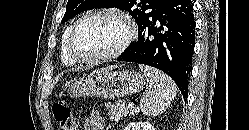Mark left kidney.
Returning <instances> with one entry per match:
<instances>
[{
    "label": "left kidney",
    "mask_w": 249,
    "mask_h": 130,
    "mask_svg": "<svg viewBox=\"0 0 249 130\" xmlns=\"http://www.w3.org/2000/svg\"><path fill=\"white\" fill-rule=\"evenodd\" d=\"M125 130H155L149 122H132L125 127Z\"/></svg>",
    "instance_id": "1"
}]
</instances>
